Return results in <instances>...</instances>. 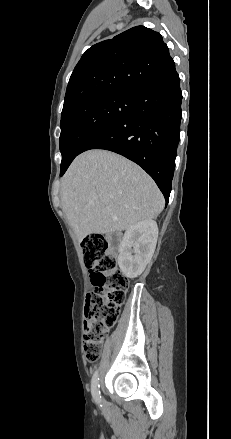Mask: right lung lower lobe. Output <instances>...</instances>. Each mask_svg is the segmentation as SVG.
Listing matches in <instances>:
<instances>
[{
	"label": "right lung lower lobe",
	"mask_w": 231,
	"mask_h": 439,
	"mask_svg": "<svg viewBox=\"0 0 231 439\" xmlns=\"http://www.w3.org/2000/svg\"><path fill=\"white\" fill-rule=\"evenodd\" d=\"M133 94L134 109L93 134L78 153L105 149L123 155L154 179L168 203L182 118L175 67Z\"/></svg>",
	"instance_id": "right-lung-lower-lobe-1"
}]
</instances>
